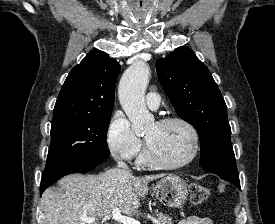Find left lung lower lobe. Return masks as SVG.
Masks as SVG:
<instances>
[{"label": "left lung lower lobe", "mask_w": 275, "mask_h": 224, "mask_svg": "<svg viewBox=\"0 0 275 224\" xmlns=\"http://www.w3.org/2000/svg\"><path fill=\"white\" fill-rule=\"evenodd\" d=\"M226 180L232 182L233 184H235L240 189V181H239V179L227 178Z\"/></svg>", "instance_id": "1"}]
</instances>
